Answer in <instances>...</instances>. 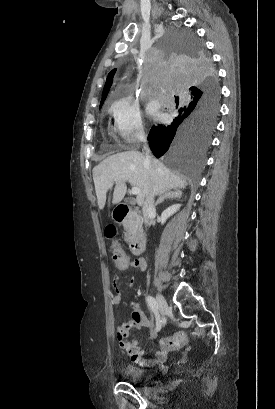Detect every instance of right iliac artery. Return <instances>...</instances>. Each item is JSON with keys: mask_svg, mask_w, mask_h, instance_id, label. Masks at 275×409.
<instances>
[{"mask_svg": "<svg viewBox=\"0 0 275 409\" xmlns=\"http://www.w3.org/2000/svg\"><path fill=\"white\" fill-rule=\"evenodd\" d=\"M146 302H147L148 306L150 307V309L152 310V312L156 316V329L155 330H156V332H158L161 329V320H160V316L158 314L157 302L152 296H147L146 297Z\"/></svg>", "mask_w": 275, "mask_h": 409, "instance_id": "1", "label": "right iliac artery"}]
</instances>
